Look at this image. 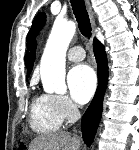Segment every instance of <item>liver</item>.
<instances>
[{"label": "liver", "mask_w": 139, "mask_h": 150, "mask_svg": "<svg viewBox=\"0 0 139 150\" xmlns=\"http://www.w3.org/2000/svg\"><path fill=\"white\" fill-rule=\"evenodd\" d=\"M79 147V138L71 137L68 132H58L36 137L29 150H78Z\"/></svg>", "instance_id": "1"}]
</instances>
